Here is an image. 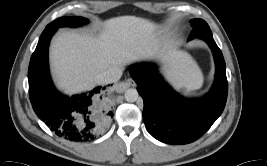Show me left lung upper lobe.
Listing matches in <instances>:
<instances>
[{
  "label": "left lung upper lobe",
  "mask_w": 267,
  "mask_h": 166,
  "mask_svg": "<svg viewBox=\"0 0 267 166\" xmlns=\"http://www.w3.org/2000/svg\"><path fill=\"white\" fill-rule=\"evenodd\" d=\"M193 30L189 35V39H193L203 33L211 32L208 24L202 19H194L191 21Z\"/></svg>",
  "instance_id": "5c2ea615"
}]
</instances>
